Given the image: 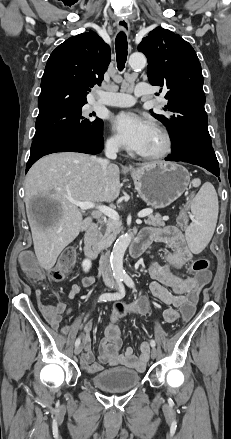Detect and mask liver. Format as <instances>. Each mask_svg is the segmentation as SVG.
Segmentation results:
<instances>
[{
  "mask_svg": "<svg viewBox=\"0 0 231 439\" xmlns=\"http://www.w3.org/2000/svg\"><path fill=\"white\" fill-rule=\"evenodd\" d=\"M119 173L118 166L111 164L104 175L99 158L74 152L47 155L30 168L25 179V203L42 268L51 270L62 250L92 223V217L83 219L70 200L98 206L114 201L120 194ZM38 196L55 205L56 210L47 213L43 206L37 208V215L33 213L31 202Z\"/></svg>",
  "mask_w": 231,
  "mask_h": 439,
  "instance_id": "liver-1",
  "label": "liver"
}]
</instances>
